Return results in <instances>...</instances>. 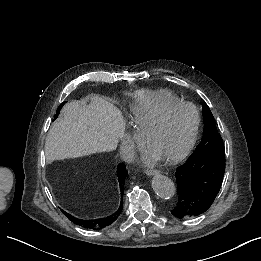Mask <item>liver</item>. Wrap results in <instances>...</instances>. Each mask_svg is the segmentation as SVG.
Instances as JSON below:
<instances>
[{"label":"liver","mask_w":261,"mask_h":261,"mask_svg":"<svg viewBox=\"0 0 261 261\" xmlns=\"http://www.w3.org/2000/svg\"><path fill=\"white\" fill-rule=\"evenodd\" d=\"M123 131L121 113L100 96L91 97L90 105L73 101L52 125L45 144L46 154L75 158L111 152Z\"/></svg>","instance_id":"obj_1"}]
</instances>
